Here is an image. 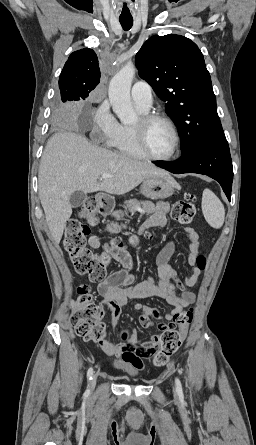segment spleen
Masks as SVG:
<instances>
[{"label": "spleen", "instance_id": "spleen-1", "mask_svg": "<svg viewBox=\"0 0 256 445\" xmlns=\"http://www.w3.org/2000/svg\"><path fill=\"white\" fill-rule=\"evenodd\" d=\"M202 212L207 223L215 228L222 227L225 219V209L219 198L209 189L202 195Z\"/></svg>", "mask_w": 256, "mask_h": 445}]
</instances>
